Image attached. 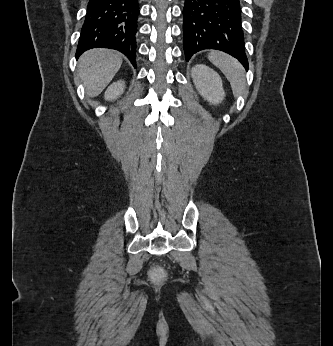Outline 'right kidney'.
Returning a JSON list of instances; mask_svg holds the SVG:
<instances>
[{"label": "right kidney", "instance_id": "obj_1", "mask_svg": "<svg viewBox=\"0 0 333 346\" xmlns=\"http://www.w3.org/2000/svg\"><path fill=\"white\" fill-rule=\"evenodd\" d=\"M125 82L117 81L112 83L105 91L104 97L106 100L112 101L117 99L124 91Z\"/></svg>", "mask_w": 333, "mask_h": 346}]
</instances>
